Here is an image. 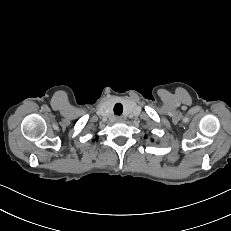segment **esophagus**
<instances>
[{
    "label": "esophagus",
    "mask_w": 231,
    "mask_h": 231,
    "mask_svg": "<svg viewBox=\"0 0 231 231\" xmlns=\"http://www.w3.org/2000/svg\"><path fill=\"white\" fill-rule=\"evenodd\" d=\"M124 119H123V117H121V116H119V117H116V121L117 122H122Z\"/></svg>",
    "instance_id": "1"
}]
</instances>
